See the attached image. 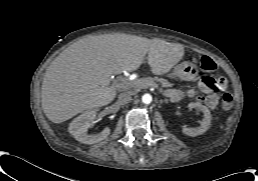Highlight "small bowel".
<instances>
[{
    "instance_id": "1",
    "label": "small bowel",
    "mask_w": 258,
    "mask_h": 181,
    "mask_svg": "<svg viewBox=\"0 0 258 181\" xmlns=\"http://www.w3.org/2000/svg\"><path fill=\"white\" fill-rule=\"evenodd\" d=\"M216 87L219 90H224L226 85L223 79H214L210 76H206L198 84L199 90L205 95L200 98L206 106L209 108H215L219 102V94L214 90ZM196 96L194 89L187 90H173L170 94L172 99H180L183 97L193 98Z\"/></svg>"
}]
</instances>
